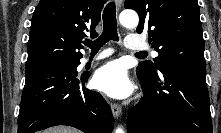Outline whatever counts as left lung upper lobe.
Returning <instances> with one entry per match:
<instances>
[{
    "instance_id": "5c2ea615",
    "label": "left lung upper lobe",
    "mask_w": 221,
    "mask_h": 133,
    "mask_svg": "<svg viewBox=\"0 0 221 133\" xmlns=\"http://www.w3.org/2000/svg\"><path fill=\"white\" fill-rule=\"evenodd\" d=\"M125 8L134 9L140 18L137 33L147 32L149 42L159 56L155 63L137 67L144 74L171 63L205 67L204 39L197 0H125Z\"/></svg>"
}]
</instances>
